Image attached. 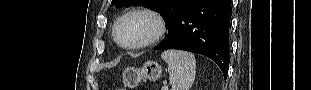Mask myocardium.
I'll return each instance as SVG.
<instances>
[{"label":"myocardium","instance_id":"f54148a6","mask_svg":"<svg viewBox=\"0 0 311 90\" xmlns=\"http://www.w3.org/2000/svg\"><path fill=\"white\" fill-rule=\"evenodd\" d=\"M145 16L149 18L154 25V30L150 34L148 38L141 42L137 43H131V44H124L120 42L118 38V28L120 24L128 17L130 16ZM166 32V24L162 16L157 13L156 11L150 10V9H145V8H137V9H132L130 11H127L126 13L122 14L115 22L114 27H113V38L116 44L126 50H138V49H143L146 47H149L156 42H158L165 34Z\"/></svg>","mask_w":311,"mask_h":90}]
</instances>
